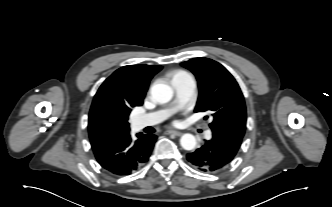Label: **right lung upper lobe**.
I'll list each match as a JSON object with an SVG mask.
<instances>
[{"instance_id": "1", "label": "right lung upper lobe", "mask_w": 332, "mask_h": 207, "mask_svg": "<svg viewBox=\"0 0 332 207\" xmlns=\"http://www.w3.org/2000/svg\"><path fill=\"white\" fill-rule=\"evenodd\" d=\"M162 69L155 65H128L107 78L94 96L89 113L92 148L109 144L129 133L131 109L143 104L152 77Z\"/></svg>"}]
</instances>
